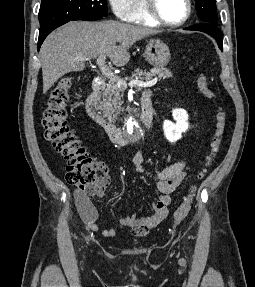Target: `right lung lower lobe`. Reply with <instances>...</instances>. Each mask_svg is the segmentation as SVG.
Masks as SVG:
<instances>
[{
	"mask_svg": "<svg viewBox=\"0 0 255 287\" xmlns=\"http://www.w3.org/2000/svg\"><path fill=\"white\" fill-rule=\"evenodd\" d=\"M63 24H65V23H63ZM63 24H58V25H54V26H50V27H46V28L40 29L39 40H38V49L40 48V46L43 43V41L46 38V36L50 32H52L54 29H56L57 27H59V26H61Z\"/></svg>",
	"mask_w": 255,
	"mask_h": 287,
	"instance_id": "98d812e1",
	"label": "right lung lower lobe"
}]
</instances>
